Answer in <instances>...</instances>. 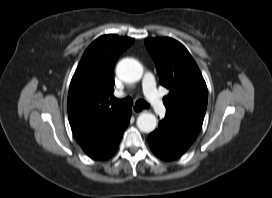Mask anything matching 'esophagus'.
<instances>
[{
	"label": "esophagus",
	"mask_w": 272,
	"mask_h": 198,
	"mask_svg": "<svg viewBox=\"0 0 272 198\" xmlns=\"http://www.w3.org/2000/svg\"><path fill=\"white\" fill-rule=\"evenodd\" d=\"M132 112H133L134 114L138 115V114H141V113L146 112V110H145V109H142V108H140V107H138V106H133V107H132Z\"/></svg>",
	"instance_id": "obj_1"
}]
</instances>
